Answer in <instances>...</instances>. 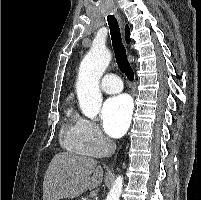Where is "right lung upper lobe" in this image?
<instances>
[{"instance_id": "1", "label": "right lung upper lobe", "mask_w": 201, "mask_h": 200, "mask_svg": "<svg viewBox=\"0 0 201 200\" xmlns=\"http://www.w3.org/2000/svg\"><path fill=\"white\" fill-rule=\"evenodd\" d=\"M125 38H126V42L129 43L130 42V30H129V27L127 25L125 28Z\"/></svg>"}]
</instances>
